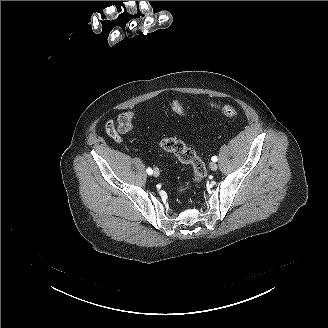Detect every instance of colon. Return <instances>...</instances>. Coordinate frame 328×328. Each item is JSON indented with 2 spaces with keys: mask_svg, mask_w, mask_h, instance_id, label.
<instances>
[{
  "mask_svg": "<svg viewBox=\"0 0 328 328\" xmlns=\"http://www.w3.org/2000/svg\"><path fill=\"white\" fill-rule=\"evenodd\" d=\"M169 106L174 113L185 115L184 107L180 101L171 100ZM214 108L225 117L234 118L237 116V110L232 105H219L214 106ZM134 118L135 113L132 111L121 113L116 124L108 127L107 132L112 136H116L118 133H129L132 130ZM159 146L161 149L174 154L181 162L190 165L193 169L191 179L178 187L179 194L186 193L193 185L200 183L205 178L207 171L203 161L192 148L186 146L181 140L164 138L159 141Z\"/></svg>",
  "mask_w": 328,
  "mask_h": 328,
  "instance_id": "colon-1",
  "label": "colon"
}]
</instances>
